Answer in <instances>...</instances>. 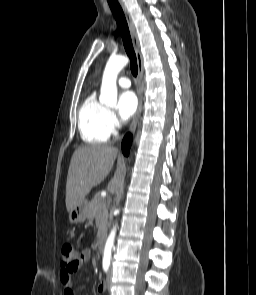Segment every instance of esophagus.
Here are the masks:
<instances>
[{
    "label": "esophagus",
    "instance_id": "esophagus-1",
    "mask_svg": "<svg viewBox=\"0 0 256 295\" xmlns=\"http://www.w3.org/2000/svg\"><path fill=\"white\" fill-rule=\"evenodd\" d=\"M120 5L123 9V12L125 14L126 20L128 22V26L130 29V33H131V37H132V42H133V46H134V51L136 54V59H137V66H138V79H137V94H138V108L137 111L135 113V116L133 118V121L131 123V126L129 128V132H133L136 128L137 122L139 120L141 111H142V79H143V57L142 54L140 52V48H139V41H138V37H137V32H136V28L135 25L133 23L132 17L129 13V11L127 10L126 6L120 2Z\"/></svg>",
    "mask_w": 256,
    "mask_h": 295
}]
</instances>
